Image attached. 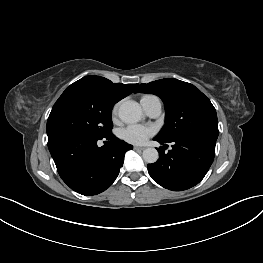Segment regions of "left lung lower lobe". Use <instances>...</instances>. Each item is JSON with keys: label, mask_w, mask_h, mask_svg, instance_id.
I'll use <instances>...</instances> for the list:
<instances>
[{"label": "left lung lower lobe", "mask_w": 263, "mask_h": 263, "mask_svg": "<svg viewBox=\"0 0 263 263\" xmlns=\"http://www.w3.org/2000/svg\"><path fill=\"white\" fill-rule=\"evenodd\" d=\"M160 144L166 141L156 139ZM165 153L160 147L159 159L148 164L149 175L162 187L182 191L198 184L209 170L215 155L216 140L205 137H182L172 141Z\"/></svg>", "instance_id": "1"}]
</instances>
